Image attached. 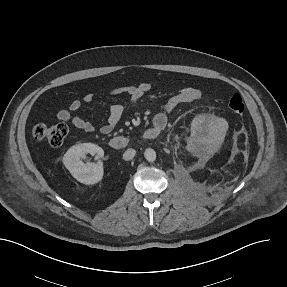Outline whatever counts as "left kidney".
Here are the masks:
<instances>
[{"label":"left kidney","mask_w":287,"mask_h":287,"mask_svg":"<svg viewBox=\"0 0 287 287\" xmlns=\"http://www.w3.org/2000/svg\"><path fill=\"white\" fill-rule=\"evenodd\" d=\"M198 131V124L196 121H193L192 126H191V133L193 136L197 134Z\"/></svg>","instance_id":"obj_1"}]
</instances>
